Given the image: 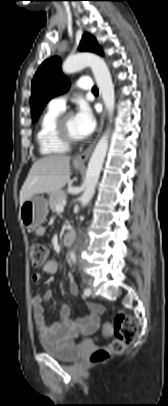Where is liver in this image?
Listing matches in <instances>:
<instances>
[{
    "instance_id": "obj_1",
    "label": "liver",
    "mask_w": 168,
    "mask_h": 406,
    "mask_svg": "<svg viewBox=\"0 0 168 406\" xmlns=\"http://www.w3.org/2000/svg\"><path fill=\"white\" fill-rule=\"evenodd\" d=\"M70 157L52 155L32 165L20 191V206L36 194H54L70 179Z\"/></svg>"
}]
</instances>
